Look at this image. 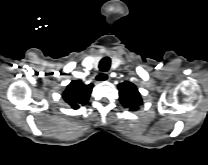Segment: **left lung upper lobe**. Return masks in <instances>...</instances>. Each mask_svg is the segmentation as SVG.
Instances as JSON below:
<instances>
[{
	"label": "left lung upper lobe",
	"instance_id": "1",
	"mask_svg": "<svg viewBox=\"0 0 208 165\" xmlns=\"http://www.w3.org/2000/svg\"><path fill=\"white\" fill-rule=\"evenodd\" d=\"M119 99L122 105L130 111H136L142 105V99L136 86L128 81L118 85Z\"/></svg>",
	"mask_w": 208,
	"mask_h": 165
}]
</instances>
